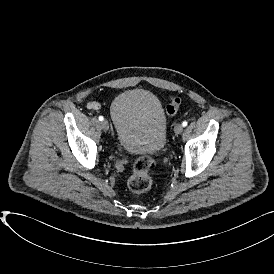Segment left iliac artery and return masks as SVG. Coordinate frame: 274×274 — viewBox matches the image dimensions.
<instances>
[{"label": "left iliac artery", "mask_w": 274, "mask_h": 274, "mask_svg": "<svg viewBox=\"0 0 274 274\" xmlns=\"http://www.w3.org/2000/svg\"><path fill=\"white\" fill-rule=\"evenodd\" d=\"M188 122L187 121H183L182 125L185 127L187 126Z\"/></svg>", "instance_id": "1"}]
</instances>
